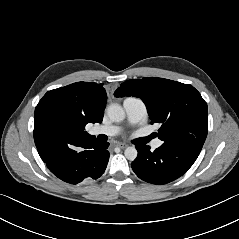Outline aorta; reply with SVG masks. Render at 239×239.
Returning <instances> with one entry per match:
<instances>
[{"label": "aorta", "instance_id": "aorta-1", "mask_svg": "<svg viewBox=\"0 0 239 239\" xmlns=\"http://www.w3.org/2000/svg\"><path fill=\"white\" fill-rule=\"evenodd\" d=\"M108 117L114 122H120L125 118V111L119 104H111L107 108ZM137 150L135 147H127L124 155L128 160H135L137 157Z\"/></svg>", "mask_w": 239, "mask_h": 239}]
</instances>
